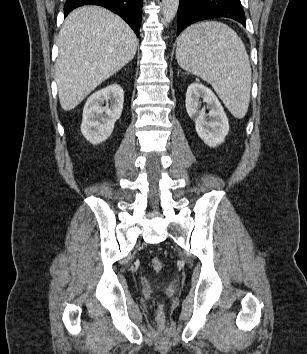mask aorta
<instances>
[{
  "mask_svg": "<svg viewBox=\"0 0 307 354\" xmlns=\"http://www.w3.org/2000/svg\"><path fill=\"white\" fill-rule=\"evenodd\" d=\"M179 0H162L163 22L169 24L175 17Z\"/></svg>",
  "mask_w": 307,
  "mask_h": 354,
  "instance_id": "obj_1",
  "label": "aorta"
}]
</instances>
